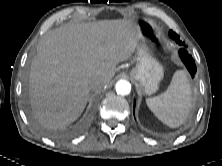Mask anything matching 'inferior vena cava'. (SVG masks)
I'll use <instances>...</instances> for the list:
<instances>
[{"label": "inferior vena cava", "mask_w": 222, "mask_h": 166, "mask_svg": "<svg viewBox=\"0 0 222 166\" xmlns=\"http://www.w3.org/2000/svg\"><path fill=\"white\" fill-rule=\"evenodd\" d=\"M105 87V82L104 81H96L94 84H93V89L95 91L97 90H102L103 88Z\"/></svg>", "instance_id": "602c4592"}]
</instances>
